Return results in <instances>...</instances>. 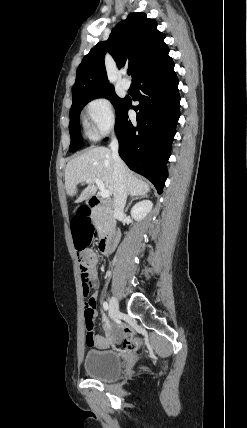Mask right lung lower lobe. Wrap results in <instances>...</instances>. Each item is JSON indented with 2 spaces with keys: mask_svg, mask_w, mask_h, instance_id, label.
I'll return each instance as SVG.
<instances>
[{
  "mask_svg": "<svg viewBox=\"0 0 247 428\" xmlns=\"http://www.w3.org/2000/svg\"><path fill=\"white\" fill-rule=\"evenodd\" d=\"M134 83L137 95L133 100L140 104L132 106V100L125 98L116 114L119 155L131 170L149 179L161 194L168 174L166 163L180 117L178 78L172 58L167 56L142 72ZM129 109L137 112L136 120L129 119Z\"/></svg>",
  "mask_w": 247,
  "mask_h": 428,
  "instance_id": "1",
  "label": "right lung lower lobe"
}]
</instances>
